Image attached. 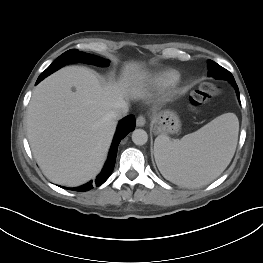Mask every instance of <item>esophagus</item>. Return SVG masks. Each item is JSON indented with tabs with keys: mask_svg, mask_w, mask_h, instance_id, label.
I'll return each instance as SVG.
<instances>
[{
	"mask_svg": "<svg viewBox=\"0 0 263 263\" xmlns=\"http://www.w3.org/2000/svg\"><path fill=\"white\" fill-rule=\"evenodd\" d=\"M145 123H146V118H145L143 115H140V116L137 117V119H136V125H137L138 127L144 126Z\"/></svg>",
	"mask_w": 263,
	"mask_h": 263,
	"instance_id": "esophagus-1",
	"label": "esophagus"
}]
</instances>
